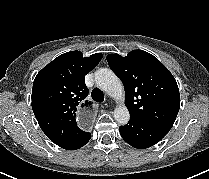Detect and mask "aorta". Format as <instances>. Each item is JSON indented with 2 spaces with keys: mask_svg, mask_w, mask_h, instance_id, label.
Returning a JSON list of instances; mask_svg holds the SVG:
<instances>
[{
  "mask_svg": "<svg viewBox=\"0 0 209 179\" xmlns=\"http://www.w3.org/2000/svg\"><path fill=\"white\" fill-rule=\"evenodd\" d=\"M95 82L97 86L101 90L105 91L109 96L115 100L123 101V84L111 69H98L95 72ZM114 118L121 125L127 124L130 119V114L127 107L123 104L117 106L114 110Z\"/></svg>",
  "mask_w": 209,
  "mask_h": 179,
  "instance_id": "762f6f07",
  "label": "aorta"
}]
</instances>
